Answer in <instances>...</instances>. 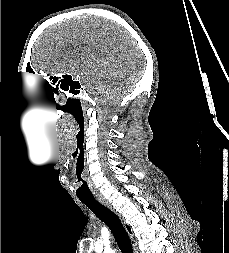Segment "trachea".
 Here are the masks:
<instances>
[{"label":"trachea","mask_w":229,"mask_h":253,"mask_svg":"<svg viewBox=\"0 0 229 253\" xmlns=\"http://www.w3.org/2000/svg\"><path fill=\"white\" fill-rule=\"evenodd\" d=\"M111 230L122 253H133L131 240L119 217L109 208L99 203L93 196L79 198Z\"/></svg>","instance_id":"3493384b"}]
</instances>
